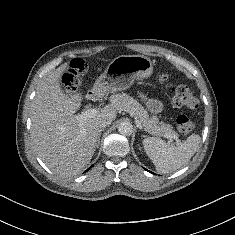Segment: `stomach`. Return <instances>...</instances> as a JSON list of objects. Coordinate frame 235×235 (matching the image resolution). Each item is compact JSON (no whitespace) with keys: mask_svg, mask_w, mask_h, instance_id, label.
<instances>
[{"mask_svg":"<svg viewBox=\"0 0 235 235\" xmlns=\"http://www.w3.org/2000/svg\"><path fill=\"white\" fill-rule=\"evenodd\" d=\"M153 63L143 55H121L107 66L94 83L91 92L104 94L128 89L136 79L151 76Z\"/></svg>","mask_w":235,"mask_h":235,"instance_id":"1","label":"stomach"}]
</instances>
